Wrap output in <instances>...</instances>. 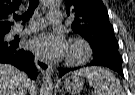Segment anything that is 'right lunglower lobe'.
I'll list each match as a JSON object with an SVG mask.
<instances>
[{"instance_id":"98d812e1","label":"right lung lower lobe","mask_w":135,"mask_h":95,"mask_svg":"<svg viewBox=\"0 0 135 95\" xmlns=\"http://www.w3.org/2000/svg\"><path fill=\"white\" fill-rule=\"evenodd\" d=\"M0 63L14 65L21 71L26 72L31 79L37 77L34 56L31 52L19 48V39L0 40Z\"/></svg>"}]
</instances>
